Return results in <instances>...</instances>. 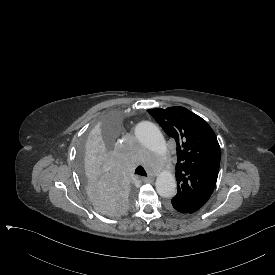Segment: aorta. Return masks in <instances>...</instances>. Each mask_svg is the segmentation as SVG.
<instances>
[{
    "label": "aorta",
    "mask_w": 275,
    "mask_h": 275,
    "mask_svg": "<svg viewBox=\"0 0 275 275\" xmlns=\"http://www.w3.org/2000/svg\"><path fill=\"white\" fill-rule=\"evenodd\" d=\"M135 135L142 143L159 148H165V139L159 128L152 122L142 121L135 128ZM157 193L164 198L176 195L175 177L167 171L161 172L155 182Z\"/></svg>",
    "instance_id": "aorta-1"
}]
</instances>
